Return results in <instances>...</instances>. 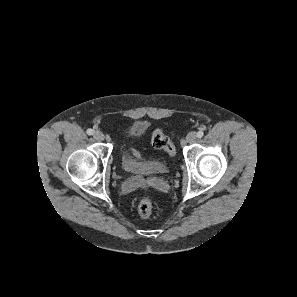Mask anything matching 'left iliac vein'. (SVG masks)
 I'll list each match as a JSON object with an SVG mask.
<instances>
[{
    "instance_id": "left-iliac-vein-1",
    "label": "left iliac vein",
    "mask_w": 297,
    "mask_h": 297,
    "mask_svg": "<svg viewBox=\"0 0 297 297\" xmlns=\"http://www.w3.org/2000/svg\"><path fill=\"white\" fill-rule=\"evenodd\" d=\"M197 139V135L195 132H189L186 136V141L188 143H194Z\"/></svg>"
}]
</instances>
